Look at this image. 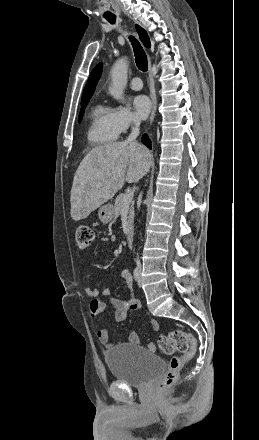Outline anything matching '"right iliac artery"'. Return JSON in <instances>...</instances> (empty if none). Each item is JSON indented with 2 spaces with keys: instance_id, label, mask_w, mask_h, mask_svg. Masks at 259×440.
<instances>
[{
  "instance_id": "82829eb1",
  "label": "right iliac artery",
  "mask_w": 259,
  "mask_h": 440,
  "mask_svg": "<svg viewBox=\"0 0 259 440\" xmlns=\"http://www.w3.org/2000/svg\"><path fill=\"white\" fill-rule=\"evenodd\" d=\"M133 276H134L135 281H139L140 274H139L138 268L134 269Z\"/></svg>"
}]
</instances>
